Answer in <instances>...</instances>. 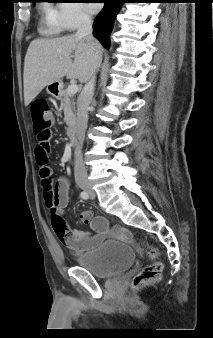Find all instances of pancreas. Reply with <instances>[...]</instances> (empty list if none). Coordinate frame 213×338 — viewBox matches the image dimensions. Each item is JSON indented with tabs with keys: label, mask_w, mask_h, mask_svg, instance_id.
I'll return each instance as SVG.
<instances>
[{
	"label": "pancreas",
	"mask_w": 213,
	"mask_h": 338,
	"mask_svg": "<svg viewBox=\"0 0 213 338\" xmlns=\"http://www.w3.org/2000/svg\"><path fill=\"white\" fill-rule=\"evenodd\" d=\"M60 100L64 111V121L66 122L69 131L76 123L75 101L73 96L68 94L67 90L62 91Z\"/></svg>",
	"instance_id": "cf45deb5"
}]
</instances>
